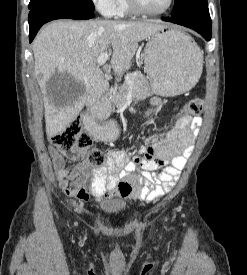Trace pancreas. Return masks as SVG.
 I'll list each match as a JSON object with an SVG mask.
<instances>
[{"mask_svg": "<svg viewBox=\"0 0 247 275\" xmlns=\"http://www.w3.org/2000/svg\"><path fill=\"white\" fill-rule=\"evenodd\" d=\"M131 93L132 99L140 100L151 95V88L148 79L141 74H136L131 77L129 81L119 87V91L115 93L112 97V102L118 106L122 107L126 104L127 96Z\"/></svg>", "mask_w": 247, "mask_h": 275, "instance_id": "obj_1", "label": "pancreas"}]
</instances>
